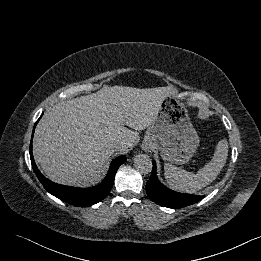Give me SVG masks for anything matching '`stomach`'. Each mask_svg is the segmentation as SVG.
<instances>
[{"mask_svg": "<svg viewBox=\"0 0 261 261\" xmlns=\"http://www.w3.org/2000/svg\"><path fill=\"white\" fill-rule=\"evenodd\" d=\"M151 146L159 147L161 157L177 165L187 163L199 146V136L190 121L188 109L174 93L161 101L147 128L143 148Z\"/></svg>", "mask_w": 261, "mask_h": 261, "instance_id": "1", "label": "stomach"}]
</instances>
